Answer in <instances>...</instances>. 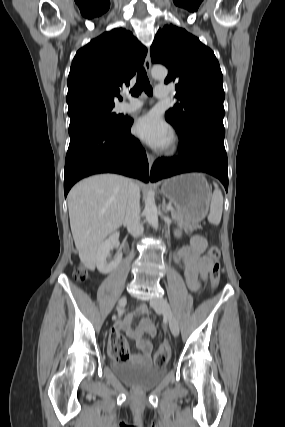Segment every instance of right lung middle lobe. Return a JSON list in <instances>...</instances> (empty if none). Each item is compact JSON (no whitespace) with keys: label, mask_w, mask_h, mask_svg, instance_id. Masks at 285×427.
I'll return each instance as SVG.
<instances>
[{"label":"right lung middle lobe","mask_w":285,"mask_h":427,"mask_svg":"<svg viewBox=\"0 0 285 427\" xmlns=\"http://www.w3.org/2000/svg\"><path fill=\"white\" fill-rule=\"evenodd\" d=\"M114 105L89 106L78 112L69 114V134L78 128L92 123L102 124L110 128H119L125 124V118L112 112Z\"/></svg>","instance_id":"dd1d6c3e"}]
</instances>
